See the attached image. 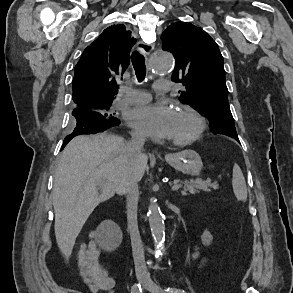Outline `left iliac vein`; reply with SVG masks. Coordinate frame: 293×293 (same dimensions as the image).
I'll use <instances>...</instances> for the list:
<instances>
[{
    "label": "left iliac vein",
    "instance_id": "1",
    "mask_svg": "<svg viewBox=\"0 0 293 293\" xmlns=\"http://www.w3.org/2000/svg\"><path fill=\"white\" fill-rule=\"evenodd\" d=\"M144 286L151 293H162L161 288L150 279L149 275L145 277Z\"/></svg>",
    "mask_w": 293,
    "mask_h": 293
}]
</instances>
